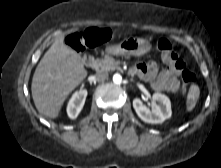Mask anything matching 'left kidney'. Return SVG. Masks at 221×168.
Returning a JSON list of instances; mask_svg holds the SVG:
<instances>
[{
	"label": "left kidney",
	"mask_w": 221,
	"mask_h": 168,
	"mask_svg": "<svg viewBox=\"0 0 221 168\" xmlns=\"http://www.w3.org/2000/svg\"><path fill=\"white\" fill-rule=\"evenodd\" d=\"M151 107L152 110L146 107L139 98L133 100L134 110L139 118L146 123L159 124L171 117V102L164 94L154 93Z\"/></svg>",
	"instance_id": "5707ae66"
}]
</instances>
